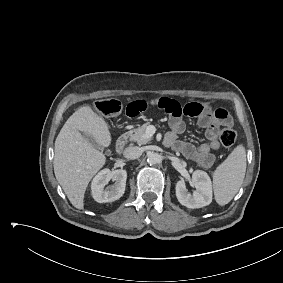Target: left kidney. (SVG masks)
<instances>
[{"mask_svg": "<svg viewBox=\"0 0 283 283\" xmlns=\"http://www.w3.org/2000/svg\"><path fill=\"white\" fill-rule=\"evenodd\" d=\"M191 182L196 189L192 195L186 189L184 179L176 183V197L180 204L190 209L209 205L212 202V183L208 174L202 170H196L192 174Z\"/></svg>", "mask_w": 283, "mask_h": 283, "instance_id": "1", "label": "left kidney"}]
</instances>
